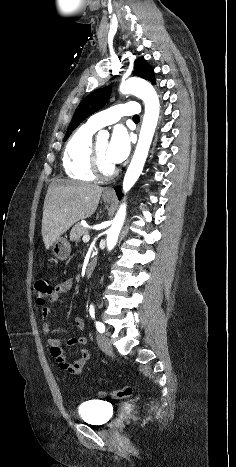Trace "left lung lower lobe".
<instances>
[{"label": "left lung lower lobe", "mask_w": 236, "mask_h": 467, "mask_svg": "<svg viewBox=\"0 0 236 467\" xmlns=\"http://www.w3.org/2000/svg\"><path fill=\"white\" fill-rule=\"evenodd\" d=\"M115 190H116V194H117L118 198L121 199V197H122L121 190L119 188H116Z\"/></svg>", "instance_id": "0a47b994"}]
</instances>
